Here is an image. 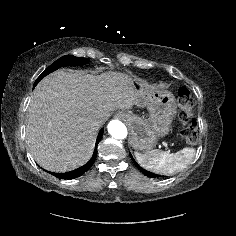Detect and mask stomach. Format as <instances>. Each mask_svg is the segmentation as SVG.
<instances>
[{
    "instance_id": "stomach-1",
    "label": "stomach",
    "mask_w": 236,
    "mask_h": 236,
    "mask_svg": "<svg viewBox=\"0 0 236 236\" xmlns=\"http://www.w3.org/2000/svg\"><path fill=\"white\" fill-rule=\"evenodd\" d=\"M131 83L140 96L138 106H147L149 117L144 118L132 111L123 113L131 133L130 143L135 150L149 151L159 138L166 136L176 113L173 94L145 81L132 78Z\"/></svg>"
}]
</instances>
